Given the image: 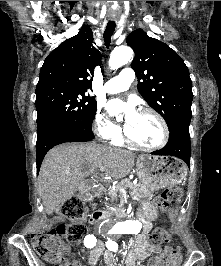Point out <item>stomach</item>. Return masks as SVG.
I'll return each mask as SVG.
<instances>
[{
    "label": "stomach",
    "instance_id": "1",
    "mask_svg": "<svg viewBox=\"0 0 221 266\" xmlns=\"http://www.w3.org/2000/svg\"><path fill=\"white\" fill-rule=\"evenodd\" d=\"M140 182L150 190H159L182 183L187 175V167L174 157L140 155L136 163ZM149 208V204L145 203Z\"/></svg>",
    "mask_w": 221,
    "mask_h": 266
}]
</instances>
